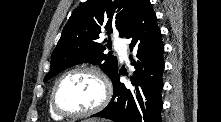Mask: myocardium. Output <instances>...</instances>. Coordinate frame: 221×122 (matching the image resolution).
Returning <instances> with one entry per match:
<instances>
[{
    "label": "myocardium",
    "instance_id": "f54148a6",
    "mask_svg": "<svg viewBox=\"0 0 221 122\" xmlns=\"http://www.w3.org/2000/svg\"><path fill=\"white\" fill-rule=\"evenodd\" d=\"M77 73H88L93 76H95L101 83L102 89H103V94L101 100L96 104L94 107L81 111V112H70L62 109L59 104L57 103V90L61 82L67 78L70 75L77 74ZM111 98V86L106 78V76L98 69L94 67H89V66H82V67H76L72 68L65 73H63L54 83L52 90H51V95H50V105L52 109L60 116L62 117H68V118H81V117H87L90 115H93L99 111H101L103 108L106 107V105L109 103Z\"/></svg>",
    "mask_w": 221,
    "mask_h": 122
}]
</instances>
